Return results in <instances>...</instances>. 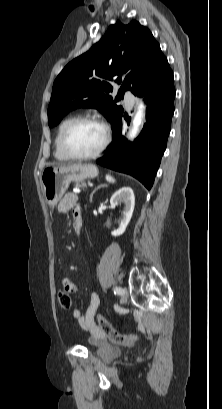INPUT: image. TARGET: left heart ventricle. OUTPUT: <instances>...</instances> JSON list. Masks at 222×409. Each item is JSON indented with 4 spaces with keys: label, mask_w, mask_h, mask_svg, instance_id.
Returning a JSON list of instances; mask_svg holds the SVG:
<instances>
[{
    "label": "left heart ventricle",
    "mask_w": 222,
    "mask_h": 409,
    "mask_svg": "<svg viewBox=\"0 0 222 409\" xmlns=\"http://www.w3.org/2000/svg\"><path fill=\"white\" fill-rule=\"evenodd\" d=\"M103 128L94 123H86L77 127L69 136L68 146L71 152L78 155L92 154L102 145Z\"/></svg>",
    "instance_id": "b2bd125f"
}]
</instances>
